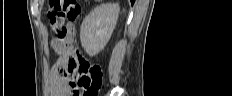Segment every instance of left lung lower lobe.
<instances>
[{
    "label": "left lung lower lobe",
    "mask_w": 232,
    "mask_h": 96,
    "mask_svg": "<svg viewBox=\"0 0 232 96\" xmlns=\"http://www.w3.org/2000/svg\"><path fill=\"white\" fill-rule=\"evenodd\" d=\"M130 1H131V4H133L135 0H130Z\"/></svg>",
    "instance_id": "0a47b994"
}]
</instances>
